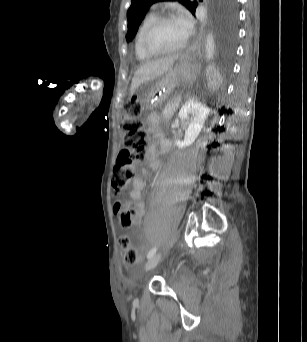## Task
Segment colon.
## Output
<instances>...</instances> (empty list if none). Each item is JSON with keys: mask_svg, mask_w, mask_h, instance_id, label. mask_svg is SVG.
Masks as SVG:
<instances>
[{"mask_svg": "<svg viewBox=\"0 0 307 342\" xmlns=\"http://www.w3.org/2000/svg\"><path fill=\"white\" fill-rule=\"evenodd\" d=\"M142 109V103L134 99L127 103L123 110L121 123V130L124 134L123 150L114 157L115 164L111 175V189L115 196L113 212L123 228H129L132 225L136 210L132 203H125L120 196L133 177L132 166L142 161L146 154L147 133L140 120ZM119 246L124 251V261L127 265L140 266L142 264L129 235L119 236Z\"/></svg>", "mask_w": 307, "mask_h": 342, "instance_id": "5ec220e1", "label": "colon"}]
</instances>
